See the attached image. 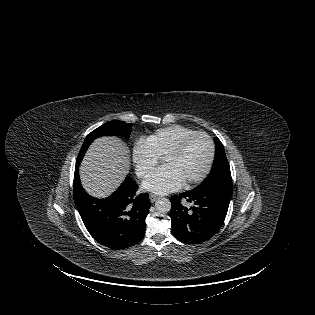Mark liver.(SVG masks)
Here are the masks:
<instances>
[{
	"instance_id": "1",
	"label": "liver",
	"mask_w": 315,
	"mask_h": 315,
	"mask_svg": "<svg viewBox=\"0 0 315 315\" xmlns=\"http://www.w3.org/2000/svg\"><path fill=\"white\" fill-rule=\"evenodd\" d=\"M130 169V151L116 137H101L91 145L80 167L86 191L106 197L123 181Z\"/></svg>"
}]
</instances>
